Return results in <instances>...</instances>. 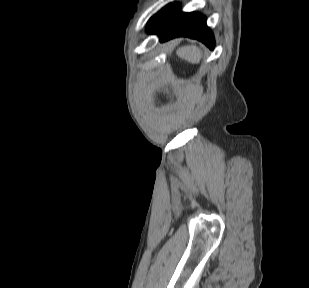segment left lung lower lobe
Returning a JSON list of instances; mask_svg holds the SVG:
<instances>
[{
    "instance_id": "left-lung-lower-lobe-1",
    "label": "left lung lower lobe",
    "mask_w": 309,
    "mask_h": 288,
    "mask_svg": "<svg viewBox=\"0 0 309 288\" xmlns=\"http://www.w3.org/2000/svg\"><path fill=\"white\" fill-rule=\"evenodd\" d=\"M146 31L157 34L160 41L187 36L214 49V37L206 25V18L195 12L184 13L175 3L167 5L150 18Z\"/></svg>"
}]
</instances>
